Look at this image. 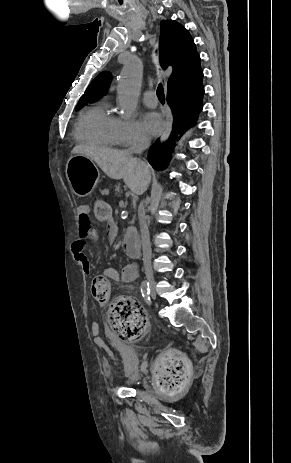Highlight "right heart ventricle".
<instances>
[{
	"mask_svg": "<svg viewBox=\"0 0 291 463\" xmlns=\"http://www.w3.org/2000/svg\"><path fill=\"white\" fill-rule=\"evenodd\" d=\"M119 121L109 111L106 103H99L81 113L75 126V138L78 142L89 145H119Z\"/></svg>",
	"mask_w": 291,
	"mask_h": 463,
	"instance_id": "e07e8e85",
	"label": "right heart ventricle"
}]
</instances>
